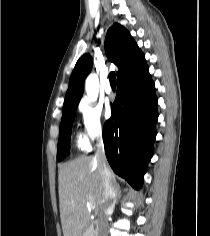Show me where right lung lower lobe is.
Returning <instances> with one entry per match:
<instances>
[{"label": "right lung lower lobe", "mask_w": 210, "mask_h": 236, "mask_svg": "<svg viewBox=\"0 0 210 236\" xmlns=\"http://www.w3.org/2000/svg\"><path fill=\"white\" fill-rule=\"evenodd\" d=\"M158 119L154 83L146 63L117 80L112 116L105 122L107 160L116 174L139 189L153 155Z\"/></svg>", "instance_id": "98d812e1"}]
</instances>
